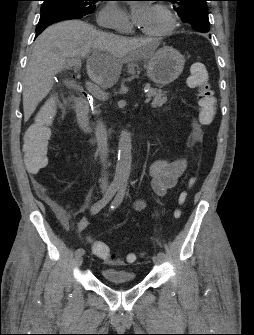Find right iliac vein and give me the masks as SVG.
<instances>
[{
  "mask_svg": "<svg viewBox=\"0 0 254 335\" xmlns=\"http://www.w3.org/2000/svg\"><path fill=\"white\" fill-rule=\"evenodd\" d=\"M74 262L76 266H81L83 263V256L82 255H76L74 258Z\"/></svg>",
  "mask_w": 254,
  "mask_h": 335,
  "instance_id": "1",
  "label": "right iliac vein"
}]
</instances>
